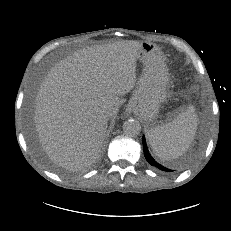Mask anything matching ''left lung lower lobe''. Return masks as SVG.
I'll use <instances>...</instances> for the list:
<instances>
[{
    "label": "left lung lower lobe",
    "mask_w": 231,
    "mask_h": 231,
    "mask_svg": "<svg viewBox=\"0 0 231 231\" xmlns=\"http://www.w3.org/2000/svg\"><path fill=\"white\" fill-rule=\"evenodd\" d=\"M143 148H144V155L146 160L149 162L150 165L156 167L157 169L161 170V171H165V172H173L174 170L168 169L164 166H162L161 164L155 162V160L151 157V155L148 152L147 146H146V142H145V138L143 137Z\"/></svg>",
    "instance_id": "left-lung-lower-lobe-1"
}]
</instances>
